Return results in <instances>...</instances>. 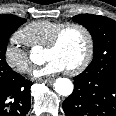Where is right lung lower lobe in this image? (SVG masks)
<instances>
[{
    "label": "right lung lower lobe",
    "mask_w": 116,
    "mask_h": 116,
    "mask_svg": "<svg viewBox=\"0 0 116 116\" xmlns=\"http://www.w3.org/2000/svg\"><path fill=\"white\" fill-rule=\"evenodd\" d=\"M31 85L18 73L13 79L0 82V116H25L31 107Z\"/></svg>",
    "instance_id": "1"
}]
</instances>
